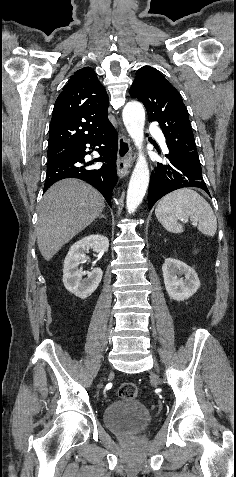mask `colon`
<instances>
[{
    "label": "colon",
    "instance_id": "colon-1",
    "mask_svg": "<svg viewBox=\"0 0 236 477\" xmlns=\"http://www.w3.org/2000/svg\"><path fill=\"white\" fill-rule=\"evenodd\" d=\"M137 393V387L130 382L121 384L118 389V394L121 398H136Z\"/></svg>",
    "mask_w": 236,
    "mask_h": 477
}]
</instances>
